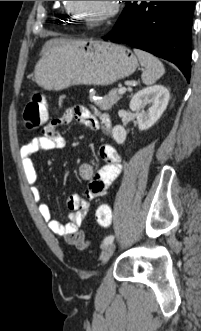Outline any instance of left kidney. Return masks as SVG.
Wrapping results in <instances>:
<instances>
[{
  "label": "left kidney",
  "mask_w": 201,
  "mask_h": 331,
  "mask_svg": "<svg viewBox=\"0 0 201 331\" xmlns=\"http://www.w3.org/2000/svg\"><path fill=\"white\" fill-rule=\"evenodd\" d=\"M170 94L162 85H154L137 92L131 99L129 107L135 112L140 131L152 127L165 111ZM148 107L145 110V107ZM113 138L118 144L126 139V130L120 125L113 128Z\"/></svg>",
  "instance_id": "obj_1"
}]
</instances>
